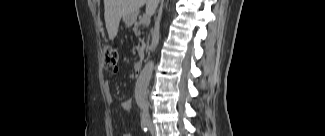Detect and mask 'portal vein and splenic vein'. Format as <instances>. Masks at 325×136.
<instances>
[{"label": "portal vein and splenic vein", "mask_w": 325, "mask_h": 136, "mask_svg": "<svg viewBox=\"0 0 325 136\" xmlns=\"http://www.w3.org/2000/svg\"><path fill=\"white\" fill-rule=\"evenodd\" d=\"M141 22H142L143 24H148V23L150 22V17H149V15H148V14L143 15V17H142V19H141Z\"/></svg>", "instance_id": "18ae733b"}]
</instances>
